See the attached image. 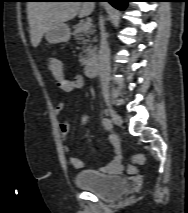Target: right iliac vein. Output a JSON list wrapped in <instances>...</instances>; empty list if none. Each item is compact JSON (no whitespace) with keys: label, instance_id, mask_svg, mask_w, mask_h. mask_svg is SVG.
<instances>
[{"label":"right iliac vein","instance_id":"obj_1","mask_svg":"<svg viewBox=\"0 0 188 213\" xmlns=\"http://www.w3.org/2000/svg\"><path fill=\"white\" fill-rule=\"evenodd\" d=\"M108 113L112 119V121L118 125L121 126L123 121L122 118L117 114V112L115 110H113L111 107H108Z\"/></svg>","mask_w":188,"mask_h":213}]
</instances>
